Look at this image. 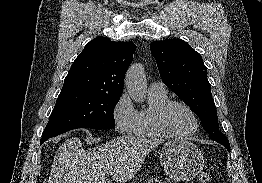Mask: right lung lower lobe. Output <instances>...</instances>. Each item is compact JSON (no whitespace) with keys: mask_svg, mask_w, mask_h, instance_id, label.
<instances>
[{"mask_svg":"<svg viewBox=\"0 0 262 183\" xmlns=\"http://www.w3.org/2000/svg\"><path fill=\"white\" fill-rule=\"evenodd\" d=\"M47 139H49V138H42L41 141H40V145H41L44 141H46Z\"/></svg>","mask_w":262,"mask_h":183,"instance_id":"right-lung-lower-lobe-1","label":"right lung lower lobe"}]
</instances>
